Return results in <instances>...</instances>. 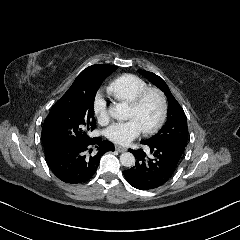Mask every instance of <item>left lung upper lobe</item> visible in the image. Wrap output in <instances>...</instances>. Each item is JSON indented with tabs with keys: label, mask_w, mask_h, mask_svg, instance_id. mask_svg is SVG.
<instances>
[{
	"label": "left lung upper lobe",
	"mask_w": 240,
	"mask_h": 240,
	"mask_svg": "<svg viewBox=\"0 0 240 240\" xmlns=\"http://www.w3.org/2000/svg\"><path fill=\"white\" fill-rule=\"evenodd\" d=\"M139 72L160 88L168 99V119L166 124L156 135L141 143L147 145L171 146L184 151L188 138V126L182 107L173 97L169 87L161 77L145 70H139Z\"/></svg>",
	"instance_id": "1"
}]
</instances>
